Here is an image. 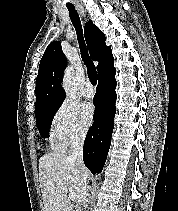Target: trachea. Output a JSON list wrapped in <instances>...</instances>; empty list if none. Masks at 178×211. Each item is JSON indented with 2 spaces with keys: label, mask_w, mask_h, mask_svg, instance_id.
I'll list each match as a JSON object with an SVG mask.
<instances>
[{
  "label": "trachea",
  "mask_w": 178,
  "mask_h": 211,
  "mask_svg": "<svg viewBox=\"0 0 178 211\" xmlns=\"http://www.w3.org/2000/svg\"><path fill=\"white\" fill-rule=\"evenodd\" d=\"M67 9L69 11V16H70L71 22L76 30V33H77V39H78V43H79V47H80L81 57L84 61V64L87 67L88 78L92 84L96 85L97 72H96V68H95V66L91 60V57L88 54L87 48H86L79 14L76 11L74 6H67Z\"/></svg>",
  "instance_id": "3493384b"
}]
</instances>
